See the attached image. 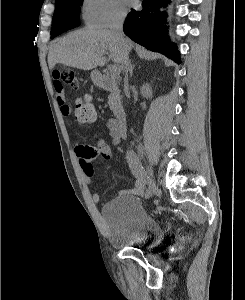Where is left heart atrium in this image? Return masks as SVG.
Wrapping results in <instances>:
<instances>
[{
  "label": "left heart atrium",
  "mask_w": 245,
  "mask_h": 300,
  "mask_svg": "<svg viewBox=\"0 0 245 300\" xmlns=\"http://www.w3.org/2000/svg\"><path fill=\"white\" fill-rule=\"evenodd\" d=\"M129 5H133L135 0H125Z\"/></svg>",
  "instance_id": "left-heart-atrium-1"
}]
</instances>
